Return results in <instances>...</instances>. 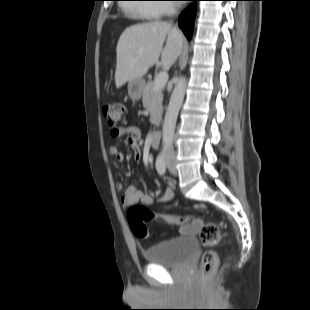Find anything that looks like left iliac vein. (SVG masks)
<instances>
[{"label":"left iliac vein","instance_id":"1","mask_svg":"<svg viewBox=\"0 0 310 310\" xmlns=\"http://www.w3.org/2000/svg\"><path fill=\"white\" fill-rule=\"evenodd\" d=\"M166 163L169 171L174 175L177 174L175 157L172 155L168 156Z\"/></svg>","mask_w":310,"mask_h":310}]
</instances>
